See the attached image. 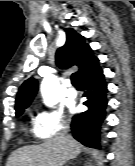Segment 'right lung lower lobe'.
Masks as SVG:
<instances>
[{"label": "right lung lower lobe", "mask_w": 135, "mask_h": 166, "mask_svg": "<svg viewBox=\"0 0 135 166\" xmlns=\"http://www.w3.org/2000/svg\"><path fill=\"white\" fill-rule=\"evenodd\" d=\"M87 100L83 103L87 110L75 115L71 130L75 139L88 147L100 148V125L105 119L107 107V83L99 66V60L79 75Z\"/></svg>", "instance_id": "1"}]
</instances>
